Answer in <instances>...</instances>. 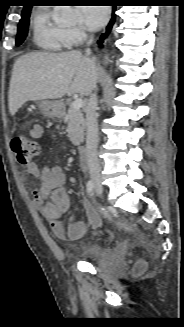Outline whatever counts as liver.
<instances>
[{"mask_svg":"<svg viewBox=\"0 0 184 327\" xmlns=\"http://www.w3.org/2000/svg\"><path fill=\"white\" fill-rule=\"evenodd\" d=\"M97 80L95 60L80 51L22 55L13 66L9 112L15 115L27 101L55 100L66 94L88 96Z\"/></svg>","mask_w":184,"mask_h":327,"instance_id":"obj_1","label":"liver"}]
</instances>
